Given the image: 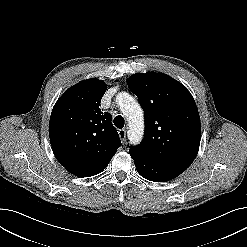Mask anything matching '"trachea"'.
Instances as JSON below:
<instances>
[{
  "label": "trachea",
  "instance_id": "obj_1",
  "mask_svg": "<svg viewBox=\"0 0 247 247\" xmlns=\"http://www.w3.org/2000/svg\"><path fill=\"white\" fill-rule=\"evenodd\" d=\"M113 123L117 128L121 129L124 127L125 121L122 116L118 115L114 118Z\"/></svg>",
  "mask_w": 247,
  "mask_h": 247
}]
</instances>
